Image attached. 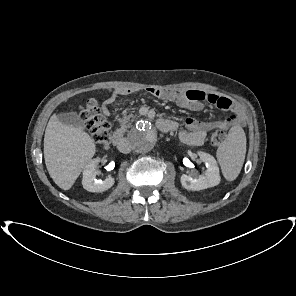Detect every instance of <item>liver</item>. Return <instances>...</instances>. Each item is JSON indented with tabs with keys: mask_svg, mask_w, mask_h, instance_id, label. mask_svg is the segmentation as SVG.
<instances>
[{
	"mask_svg": "<svg viewBox=\"0 0 296 296\" xmlns=\"http://www.w3.org/2000/svg\"><path fill=\"white\" fill-rule=\"evenodd\" d=\"M96 152L94 140L80 128L50 117L44 136V159L53 181L69 190Z\"/></svg>",
	"mask_w": 296,
	"mask_h": 296,
	"instance_id": "liver-1",
	"label": "liver"
}]
</instances>
